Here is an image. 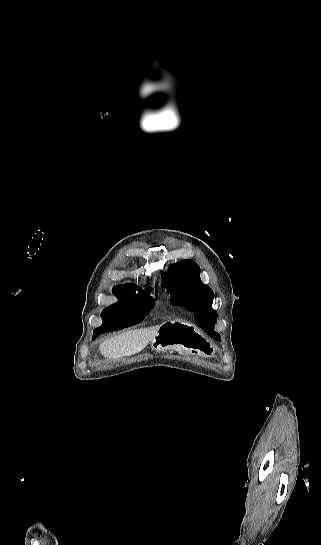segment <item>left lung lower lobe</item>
I'll return each instance as SVG.
<instances>
[{
  "mask_svg": "<svg viewBox=\"0 0 321 545\" xmlns=\"http://www.w3.org/2000/svg\"><path fill=\"white\" fill-rule=\"evenodd\" d=\"M209 335H210L211 337H213V335H212V334H209Z\"/></svg>",
  "mask_w": 321,
  "mask_h": 545,
  "instance_id": "left-lung-lower-lobe-1",
  "label": "left lung lower lobe"
}]
</instances>
